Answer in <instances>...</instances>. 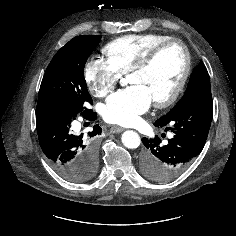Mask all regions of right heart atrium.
Instances as JSON below:
<instances>
[{"label": "right heart atrium", "instance_id": "obj_1", "mask_svg": "<svg viewBox=\"0 0 236 236\" xmlns=\"http://www.w3.org/2000/svg\"><path fill=\"white\" fill-rule=\"evenodd\" d=\"M83 77L91 93L102 98L115 89L121 74L108 60L92 57L84 65Z\"/></svg>", "mask_w": 236, "mask_h": 236}]
</instances>
